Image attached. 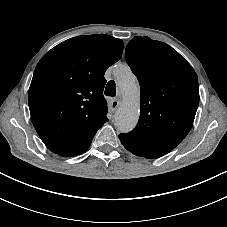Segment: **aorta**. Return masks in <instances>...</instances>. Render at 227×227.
<instances>
[{
	"label": "aorta",
	"instance_id": "obj_1",
	"mask_svg": "<svg viewBox=\"0 0 227 227\" xmlns=\"http://www.w3.org/2000/svg\"><path fill=\"white\" fill-rule=\"evenodd\" d=\"M123 102L115 114V125L120 132H130L139 119L140 89L136 77L127 65H118L114 70Z\"/></svg>",
	"mask_w": 227,
	"mask_h": 227
}]
</instances>
